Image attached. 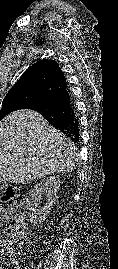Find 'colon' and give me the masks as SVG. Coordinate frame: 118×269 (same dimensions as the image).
I'll list each match as a JSON object with an SVG mask.
<instances>
[{
	"label": "colon",
	"instance_id": "5ec220e1",
	"mask_svg": "<svg viewBox=\"0 0 118 269\" xmlns=\"http://www.w3.org/2000/svg\"><path fill=\"white\" fill-rule=\"evenodd\" d=\"M0 199L7 203L10 226L5 239H0V269L18 268L17 249L26 243V210L22 195L13 187L0 184Z\"/></svg>",
	"mask_w": 118,
	"mask_h": 269
}]
</instances>
